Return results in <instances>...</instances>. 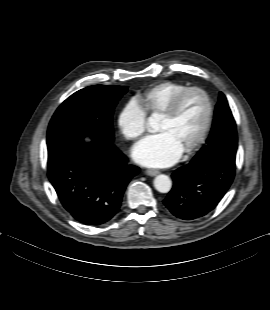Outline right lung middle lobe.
<instances>
[{"mask_svg": "<svg viewBox=\"0 0 270 310\" xmlns=\"http://www.w3.org/2000/svg\"><path fill=\"white\" fill-rule=\"evenodd\" d=\"M124 86L94 85L81 89L67 98L53 115L47 138H83L112 143V115L123 94Z\"/></svg>", "mask_w": 270, "mask_h": 310, "instance_id": "obj_1", "label": "right lung middle lobe"}]
</instances>
